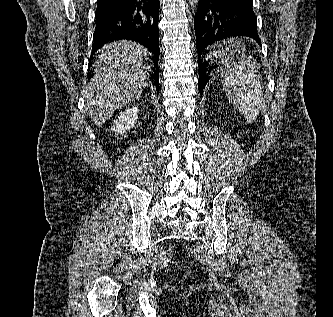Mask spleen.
Listing matches in <instances>:
<instances>
[{"mask_svg": "<svg viewBox=\"0 0 333 317\" xmlns=\"http://www.w3.org/2000/svg\"><path fill=\"white\" fill-rule=\"evenodd\" d=\"M242 47L238 39L221 44L228 65L220 71L228 100L245 116L247 122L252 123L259 115L263 92L255 62L242 51Z\"/></svg>", "mask_w": 333, "mask_h": 317, "instance_id": "obj_1", "label": "spleen"}]
</instances>
